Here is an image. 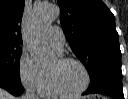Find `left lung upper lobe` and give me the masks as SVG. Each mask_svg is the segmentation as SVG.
<instances>
[{
  "instance_id": "5c2ea615",
  "label": "left lung upper lobe",
  "mask_w": 128,
  "mask_h": 99,
  "mask_svg": "<svg viewBox=\"0 0 128 99\" xmlns=\"http://www.w3.org/2000/svg\"><path fill=\"white\" fill-rule=\"evenodd\" d=\"M70 47L91 75L102 64L121 65L115 18L102 0H58Z\"/></svg>"
}]
</instances>
